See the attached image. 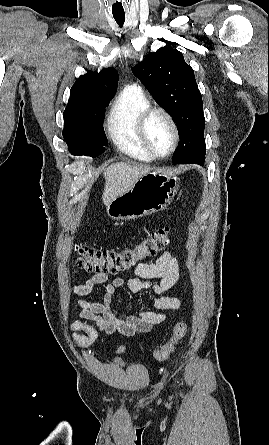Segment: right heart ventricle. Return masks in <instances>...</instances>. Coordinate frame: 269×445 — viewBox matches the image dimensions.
<instances>
[{"label": "right heart ventricle", "mask_w": 269, "mask_h": 445, "mask_svg": "<svg viewBox=\"0 0 269 445\" xmlns=\"http://www.w3.org/2000/svg\"><path fill=\"white\" fill-rule=\"evenodd\" d=\"M150 101L136 87H125L112 104L107 117V131L115 147L127 156L150 162L155 158L143 147L138 136V120Z\"/></svg>", "instance_id": "right-heart-ventricle-1"}]
</instances>
